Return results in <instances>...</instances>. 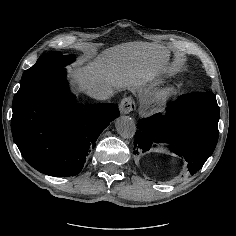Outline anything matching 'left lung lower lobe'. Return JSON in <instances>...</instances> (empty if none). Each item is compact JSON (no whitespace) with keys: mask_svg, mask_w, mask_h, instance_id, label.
Listing matches in <instances>:
<instances>
[{"mask_svg":"<svg viewBox=\"0 0 236 236\" xmlns=\"http://www.w3.org/2000/svg\"><path fill=\"white\" fill-rule=\"evenodd\" d=\"M220 109L213 93L182 95L167 109L141 119L135 133L134 153L148 151L153 143L166 142L171 150L187 161L196 173L213 153L218 140Z\"/></svg>","mask_w":236,"mask_h":236,"instance_id":"1","label":"left lung lower lobe"}]
</instances>
